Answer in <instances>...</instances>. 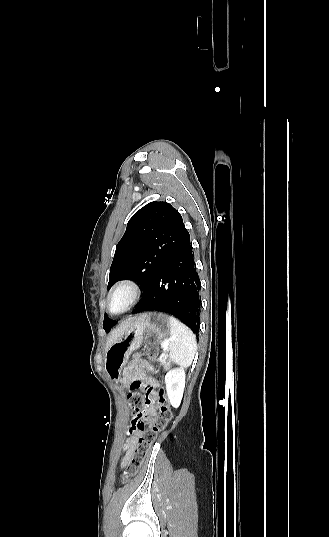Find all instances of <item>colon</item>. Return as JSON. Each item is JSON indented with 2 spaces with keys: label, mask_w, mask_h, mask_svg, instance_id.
I'll use <instances>...</instances> for the list:
<instances>
[{
  "label": "colon",
  "mask_w": 329,
  "mask_h": 537,
  "mask_svg": "<svg viewBox=\"0 0 329 537\" xmlns=\"http://www.w3.org/2000/svg\"><path fill=\"white\" fill-rule=\"evenodd\" d=\"M146 349L149 357L155 358L157 356L158 349L155 345H148ZM158 400L160 405L159 413L154 421L149 422L144 418V409L149 402V398L143 385L140 391H135L132 396L128 395L129 407L134 415L133 422L140 431V436L134 455L122 476L123 483H127L138 473L158 434L167 427L172 418V411L163 389L159 392Z\"/></svg>",
  "instance_id": "colon-1"
}]
</instances>
